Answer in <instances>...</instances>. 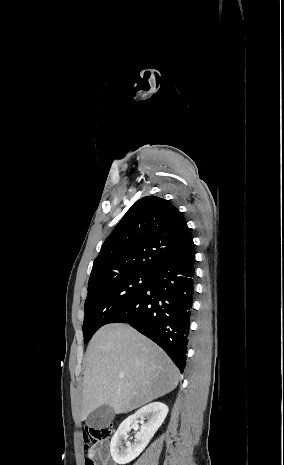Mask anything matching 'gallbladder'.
Segmentation results:
<instances>
[{
    "mask_svg": "<svg viewBox=\"0 0 284 465\" xmlns=\"http://www.w3.org/2000/svg\"><path fill=\"white\" fill-rule=\"evenodd\" d=\"M114 417V409L102 405V407L90 413L89 417L86 419V425L92 427V429H103V427H107V425L113 421Z\"/></svg>",
    "mask_w": 284,
    "mask_h": 465,
    "instance_id": "obj_1",
    "label": "gallbladder"
}]
</instances>
